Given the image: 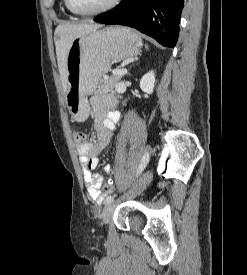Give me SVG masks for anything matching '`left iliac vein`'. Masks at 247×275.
I'll list each match as a JSON object with an SVG mask.
<instances>
[{"label": "left iliac vein", "instance_id": "1", "mask_svg": "<svg viewBox=\"0 0 247 275\" xmlns=\"http://www.w3.org/2000/svg\"><path fill=\"white\" fill-rule=\"evenodd\" d=\"M151 179V172L147 171L142 178L140 179L139 183L135 186V188L133 190H131L128 194H126V196H135L137 194H139L140 192H142L144 190V188L147 186V184L150 182ZM115 210V203L114 202H110L107 203L103 209L102 212V220L104 222V224H107L109 222V220L111 219L113 213Z\"/></svg>", "mask_w": 247, "mask_h": 275}]
</instances>
